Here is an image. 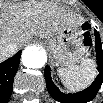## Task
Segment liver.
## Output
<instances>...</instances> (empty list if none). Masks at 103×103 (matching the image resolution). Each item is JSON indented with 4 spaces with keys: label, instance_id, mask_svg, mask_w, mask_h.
Returning a JSON list of instances; mask_svg holds the SVG:
<instances>
[{
    "label": "liver",
    "instance_id": "6515ba94",
    "mask_svg": "<svg viewBox=\"0 0 103 103\" xmlns=\"http://www.w3.org/2000/svg\"><path fill=\"white\" fill-rule=\"evenodd\" d=\"M82 19L72 12L57 6L48 0H26L1 13V45H15L9 50H1V57L13 55L25 41L32 36L46 38L59 32L64 27L81 24Z\"/></svg>",
    "mask_w": 103,
    "mask_h": 103
}]
</instances>
